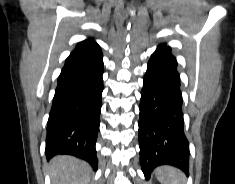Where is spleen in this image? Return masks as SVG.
I'll return each instance as SVG.
<instances>
[{"label":"spleen","instance_id":"obj_1","mask_svg":"<svg viewBox=\"0 0 235 184\" xmlns=\"http://www.w3.org/2000/svg\"><path fill=\"white\" fill-rule=\"evenodd\" d=\"M155 176L160 184H186L185 174L172 166H159Z\"/></svg>","mask_w":235,"mask_h":184}]
</instances>
